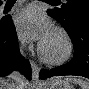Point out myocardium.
<instances>
[{
  "mask_svg": "<svg viewBox=\"0 0 89 89\" xmlns=\"http://www.w3.org/2000/svg\"><path fill=\"white\" fill-rule=\"evenodd\" d=\"M53 31L58 33L64 40L65 50L63 54L60 55L59 57H51L45 52L42 44L38 45V52H39L41 59L46 64L58 66V65H62L66 63L71 58L74 47H73V42H72L70 35L64 28L55 27Z\"/></svg>",
  "mask_w": 89,
  "mask_h": 89,
  "instance_id": "f54148a6",
  "label": "myocardium"
}]
</instances>
